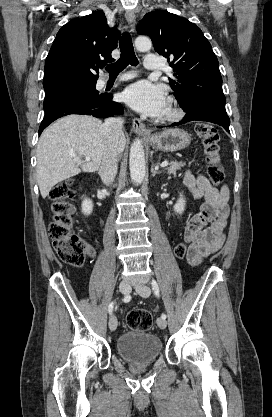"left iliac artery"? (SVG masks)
I'll return each mask as SVG.
<instances>
[{"instance_id":"1","label":"left iliac artery","mask_w":272,"mask_h":417,"mask_svg":"<svg viewBox=\"0 0 272 417\" xmlns=\"http://www.w3.org/2000/svg\"><path fill=\"white\" fill-rule=\"evenodd\" d=\"M151 284H152V289H153L154 294L157 297H160L159 286H158L157 282L155 280H152V283ZM161 318L166 319V314H162L161 315Z\"/></svg>"}]
</instances>
